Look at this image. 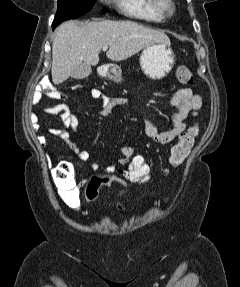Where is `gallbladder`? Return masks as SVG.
I'll list each match as a JSON object with an SVG mask.
<instances>
[{"instance_id": "1", "label": "gallbladder", "mask_w": 240, "mask_h": 287, "mask_svg": "<svg viewBox=\"0 0 240 287\" xmlns=\"http://www.w3.org/2000/svg\"><path fill=\"white\" fill-rule=\"evenodd\" d=\"M90 74H91V66L86 63H81L71 72V77L74 79H85Z\"/></svg>"}]
</instances>
